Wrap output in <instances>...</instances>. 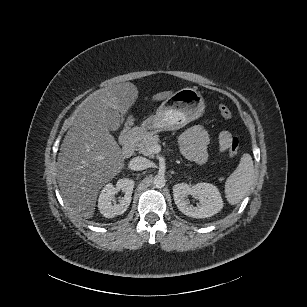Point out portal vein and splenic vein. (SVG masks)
Listing matches in <instances>:
<instances>
[{
    "label": "portal vein and splenic vein",
    "instance_id": "portal-vein-and-splenic-vein-1",
    "mask_svg": "<svg viewBox=\"0 0 307 307\" xmlns=\"http://www.w3.org/2000/svg\"><path fill=\"white\" fill-rule=\"evenodd\" d=\"M153 149L155 152H159L161 150V145L157 143L153 146Z\"/></svg>",
    "mask_w": 307,
    "mask_h": 307
}]
</instances>
